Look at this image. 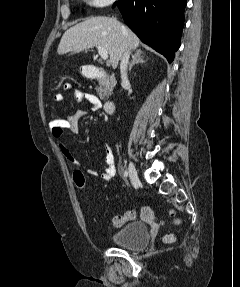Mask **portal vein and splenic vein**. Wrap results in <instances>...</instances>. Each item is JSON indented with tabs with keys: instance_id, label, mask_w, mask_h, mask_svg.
Wrapping results in <instances>:
<instances>
[{
	"instance_id": "portal-vein-and-splenic-vein-1",
	"label": "portal vein and splenic vein",
	"mask_w": 240,
	"mask_h": 287,
	"mask_svg": "<svg viewBox=\"0 0 240 287\" xmlns=\"http://www.w3.org/2000/svg\"><path fill=\"white\" fill-rule=\"evenodd\" d=\"M96 48L98 50V53H99L101 59L107 60L108 59V51L106 50V48L103 46H99V45L96 46Z\"/></svg>"
}]
</instances>
